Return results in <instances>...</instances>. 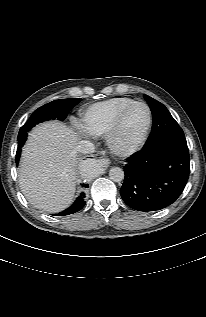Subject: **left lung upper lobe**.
Here are the masks:
<instances>
[{
  "instance_id": "5c2ea615",
  "label": "left lung upper lobe",
  "mask_w": 206,
  "mask_h": 317,
  "mask_svg": "<svg viewBox=\"0 0 206 317\" xmlns=\"http://www.w3.org/2000/svg\"><path fill=\"white\" fill-rule=\"evenodd\" d=\"M144 98L148 102L153 114L152 131L144 147L164 141L186 142L181 127L171 116L167 108L148 95H144Z\"/></svg>"
}]
</instances>
